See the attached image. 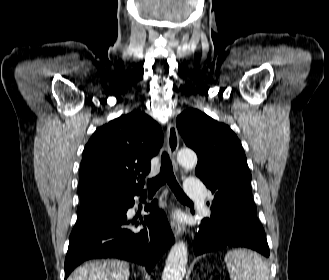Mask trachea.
Instances as JSON below:
<instances>
[{
    "label": "trachea",
    "mask_w": 329,
    "mask_h": 280,
    "mask_svg": "<svg viewBox=\"0 0 329 280\" xmlns=\"http://www.w3.org/2000/svg\"><path fill=\"white\" fill-rule=\"evenodd\" d=\"M165 183L169 185V187L178 199L192 203L179 186L173 173V167L170 157L168 153L164 151L161 157L160 173L156 177L148 180V187L150 191H156L160 186L164 185Z\"/></svg>",
    "instance_id": "3493384b"
}]
</instances>
